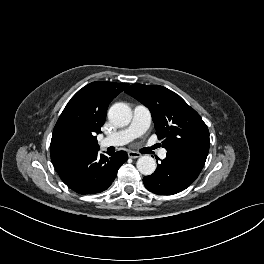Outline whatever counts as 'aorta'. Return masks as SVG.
Segmentation results:
<instances>
[{"mask_svg": "<svg viewBox=\"0 0 264 264\" xmlns=\"http://www.w3.org/2000/svg\"><path fill=\"white\" fill-rule=\"evenodd\" d=\"M108 118L116 126H127L132 119L131 108L125 103H115L108 111ZM136 166L143 175H151L156 170V162L149 155L141 156L137 160Z\"/></svg>", "mask_w": 264, "mask_h": 264, "instance_id": "obj_1", "label": "aorta"}]
</instances>
